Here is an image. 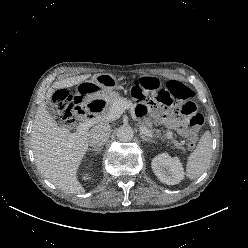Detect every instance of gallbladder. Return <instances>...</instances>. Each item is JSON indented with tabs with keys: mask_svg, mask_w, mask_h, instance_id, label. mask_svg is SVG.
<instances>
[{
	"mask_svg": "<svg viewBox=\"0 0 248 248\" xmlns=\"http://www.w3.org/2000/svg\"><path fill=\"white\" fill-rule=\"evenodd\" d=\"M45 108L52 117H55L56 110L54 104L50 100L45 102Z\"/></svg>",
	"mask_w": 248,
	"mask_h": 248,
	"instance_id": "bac80fb5",
	"label": "gallbladder"
}]
</instances>
